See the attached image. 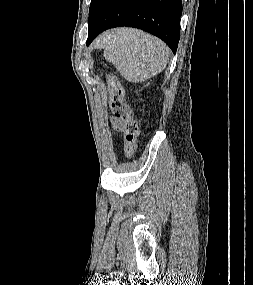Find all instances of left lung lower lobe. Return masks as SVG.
Returning <instances> with one entry per match:
<instances>
[{"label": "left lung lower lobe", "instance_id": "left-lung-lower-lobe-1", "mask_svg": "<svg viewBox=\"0 0 253 285\" xmlns=\"http://www.w3.org/2000/svg\"><path fill=\"white\" fill-rule=\"evenodd\" d=\"M181 14V0H108L88 30L87 45L106 29L127 26L159 37L176 53Z\"/></svg>", "mask_w": 253, "mask_h": 285}]
</instances>
